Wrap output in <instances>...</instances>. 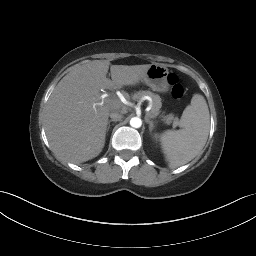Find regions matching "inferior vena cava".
I'll return each mask as SVG.
<instances>
[{"mask_svg":"<svg viewBox=\"0 0 256 256\" xmlns=\"http://www.w3.org/2000/svg\"><path fill=\"white\" fill-rule=\"evenodd\" d=\"M109 116L112 120H116V121H120L123 118V115L118 111L111 112Z\"/></svg>","mask_w":256,"mask_h":256,"instance_id":"obj_1","label":"inferior vena cava"}]
</instances>
